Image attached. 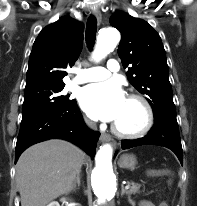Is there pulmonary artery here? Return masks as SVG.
<instances>
[{
    "label": "pulmonary artery",
    "instance_id": "e3ab8cb5",
    "mask_svg": "<svg viewBox=\"0 0 197 206\" xmlns=\"http://www.w3.org/2000/svg\"><path fill=\"white\" fill-rule=\"evenodd\" d=\"M119 62L116 59H110L104 67H91L81 70L77 77L73 79V83H86L92 81H99L108 78L111 73L119 70Z\"/></svg>",
    "mask_w": 197,
    "mask_h": 206
}]
</instances>
